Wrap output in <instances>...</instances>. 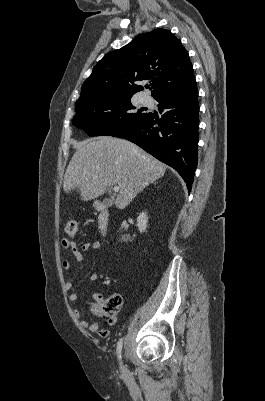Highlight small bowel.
<instances>
[{
    "label": "small bowel",
    "instance_id": "small-bowel-1",
    "mask_svg": "<svg viewBox=\"0 0 265 401\" xmlns=\"http://www.w3.org/2000/svg\"><path fill=\"white\" fill-rule=\"evenodd\" d=\"M62 246L72 253V255L74 256L76 261L83 262L85 260L83 253L98 250L100 248L101 244L98 241H90V242H85V243L81 244L80 246H78L75 241H71V240H68L67 238H65L62 240ZM62 267L66 271L71 269V267H72L71 260H69V259L64 260L62 262ZM98 278H99L98 274L92 273L89 275L88 280L94 282V281H97ZM72 285L73 284L71 281H67L65 283V287L67 290H70L72 288ZM77 299H78L77 293L71 292L69 294V300L71 302H75V301H77ZM95 299L97 301L102 300L101 296H99V295H95ZM74 315L76 318H78L80 320L81 312L78 309L74 310ZM108 322H109V324H114L116 322V318L112 317L109 319ZM80 324L83 328H85L88 331H90L91 333H95L99 336L105 337L109 334V331L102 329L98 323L90 324L86 320H80Z\"/></svg>",
    "mask_w": 265,
    "mask_h": 401
}]
</instances>
